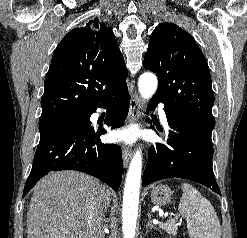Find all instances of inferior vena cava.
Returning <instances> with one entry per match:
<instances>
[{"mask_svg": "<svg viewBox=\"0 0 247 238\" xmlns=\"http://www.w3.org/2000/svg\"><path fill=\"white\" fill-rule=\"evenodd\" d=\"M106 207L102 192L89 203L87 210V227L91 238H105V216L103 209Z\"/></svg>", "mask_w": 247, "mask_h": 238, "instance_id": "inferior-vena-cava-1", "label": "inferior vena cava"}]
</instances>
